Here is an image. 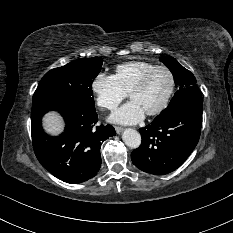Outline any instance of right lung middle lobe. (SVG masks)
I'll list each match as a JSON object with an SVG mask.
<instances>
[{
	"label": "right lung middle lobe",
	"mask_w": 233,
	"mask_h": 233,
	"mask_svg": "<svg viewBox=\"0 0 233 233\" xmlns=\"http://www.w3.org/2000/svg\"><path fill=\"white\" fill-rule=\"evenodd\" d=\"M99 57L77 59L47 72L40 81L33 102H69L94 109L92 80L102 66Z\"/></svg>",
	"instance_id": "1"
}]
</instances>
